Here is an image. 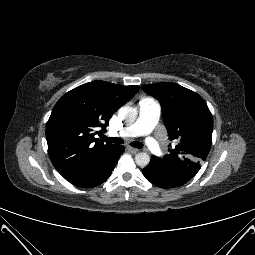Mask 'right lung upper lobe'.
Segmentation results:
<instances>
[{
	"label": "right lung upper lobe",
	"instance_id": "right-lung-upper-lobe-1",
	"mask_svg": "<svg viewBox=\"0 0 255 255\" xmlns=\"http://www.w3.org/2000/svg\"><path fill=\"white\" fill-rule=\"evenodd\" d=\"M138 90L139 86L92 81L59 99L47 122L46 139L50 159L66 180L86 174L112 156L117 145L96 139V128L105 129L113 113Z\"/></svg>",
	"mask_w": 255,
	"mask_h": 255
}]
</instances>
